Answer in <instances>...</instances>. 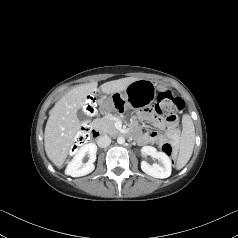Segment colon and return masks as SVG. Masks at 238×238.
Here are the masks:
<instances>
[{
    "label": "colon",
    "mask_w": 238,
    "mask_h": 238,
    "mask_svg": "<svg viewBox=\"0 0 238 238\" xmlns=\"http://www.w3.org/2000/svg\"><path fill=\"white\" fill-rule=\"evenodd\" d=\"M183 107L184 101L180 97L174 95L169 90H164L158 94L153 112L159 116H163L167 122L175 124L177 121V114L183 109ZM85 112L88 115H92L95 112V103L93 100H90L87 103ZM89 137L90 124L86 123L76 137L75 148L84 145ZM161 150L167 156H172L175 148L173 144L166 142L161 146Z\"/></svg>",
    "instance_id": "1"
}]
</instances>
